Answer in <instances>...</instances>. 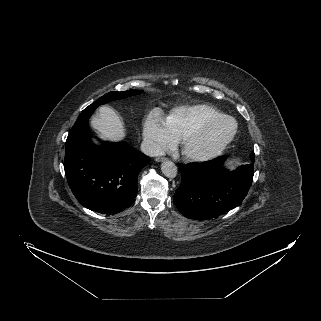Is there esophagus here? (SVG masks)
<instances>
[{
  "label": "esophagus",
  "instance_id": "obj_1",
  "mask_svg": "<svg viewBox=\"0 0 321 321\" xmlns=\"http://www.w3.org/2000/svg\"><path fill=\"white\" fill-rule=\"evenodd\" d=\"M166 160H167L166 157H157V158H155V161H156V162H164V161H166Z\"/></svg>",
  "mask_w": 321,
  "mask_h": 321
}]
</instances>
